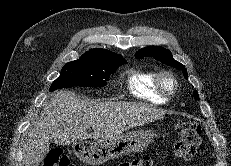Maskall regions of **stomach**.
Masks as SVG:
<instances>
[{
    "label": "stomach",
    "instance_id": "0dacf381",
    "mask_svg": "<svg viewBox=\"0 0 231 166\" xmlns=\"http://www.w3.org/2000/svg\"><path fill=\"white\" fill-rule=\"evenodd\" d=\"M151 130L132 131L116 139H90L78 141L72 148L79 160L99 165L110 159L143 151L154 139Z\"/></svg>",
    "mask_w": 231,
    "mask_h": 166
}]
</instances>
